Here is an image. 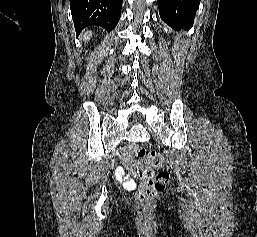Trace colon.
Instances as JSON below:
<instances>
[{"instance_id": "1", "label": "colon", "mask_w": 257, "mask_h": 237, "mask_svg": "<svg viewBox=\"0 0 257 237\" xmlns=\"http://www.w3.org/2000/svg\"><path fill=\"white\" fill-rule=\"evenodd\" d=\"M126 158L135 156L138 159L146 157V150L137 144H128L123 150ZM127 165L131 172L143 179L136 193V202L141 207L150 205L154 196L163 191L169 182L170 174L167 170L161 169L164 160L160 153L151 152L146 161L128 160ZM153 169H159L154 173Z\"/></svg>"}]
</instances>
